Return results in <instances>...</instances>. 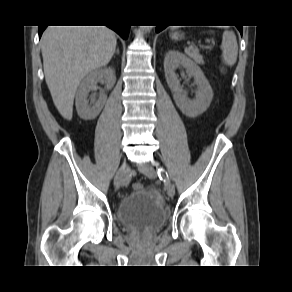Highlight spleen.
<instances>
[{
	"label": "spleen",
	"mask_w": 292,
	"mask_h": 292,
	"mask_svg": "<svg viewBox=\"0 0 292 292\" xmlns=\"http://www.w3.org/2000/svg\"><path fill=\"white\" fill-rule=\"evenodd\" d=\"M221 49L223 62L229 66L234 65L237 60L238 45L236 36L232 31H225L223 33Z\"/></svg>",
	"instance_id": "spleen-1"
}]
</instances>
